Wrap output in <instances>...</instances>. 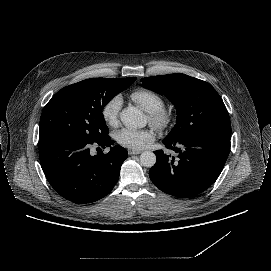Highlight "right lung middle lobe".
Instances as JSON below:
<instances>
[{
    "label": "right lung middle lobe",
    "instance_id": "dd1d6c3e",
    "mask_svg": "<svg viewBox=\"0 0 271 271\" xmlns=\"http://www.w3.org/2000/svg\"><path fill=\"white\" fill-rule=\"evenodd\" d=\"M136 77L94 78L64 87L44 107L39 139L73 137L98 142L108 135L102 108Z\"/></svg>",
    "mask_w": 271,
    "mask_h": 271
}]
</instances>
